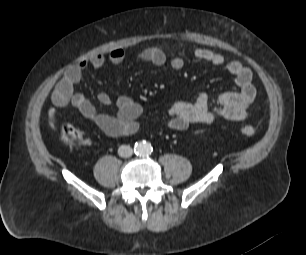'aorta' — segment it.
Wrapping results in <instances>:
<instances>
[{
    "instance_id": "obj_1",
    "label": "aorta",
    "mask_w": 306,
    "mask_h": 255,
    "mask_svg": "<svg viewBox=\"0 0 306 255\" xmlns=\"http://www.w3.org/2000/svg\"><path fill=\"white\" fill-rule=\"evenodd\" d=\"M134 149L136 154L140 156H148L153 151L151 144L146 141L136 143Z\"/></svg>"
}]
</instances>
